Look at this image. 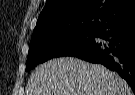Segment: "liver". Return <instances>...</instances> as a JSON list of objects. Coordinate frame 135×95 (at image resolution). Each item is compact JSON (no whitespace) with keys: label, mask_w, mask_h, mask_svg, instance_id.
Listing matches in <instances>:
<instances>
[{"label":"liver","mask_w":135,"mask_h":95,"mask_svg":"<svg viewBox=\"0 0 135 95\" xmlns=\"http://www.w3.org/2000/svg\"><path fill=\"white\" fill-rule=\"evenodd\" d=\"M26 95H132L127 83L99 64L62 57L32 72Z\"/></svg>","instance_id":"6515ba94"}]
</instances>
